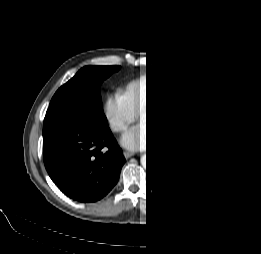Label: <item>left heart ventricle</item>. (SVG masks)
<instances>
[{"label":"left heart ventricle","instance_id":"b2bd125f","mask_svg":"<svg viewBox=\"0 0 261 254\" xmlns=\"http://www.w3.org/2000/svg\"><path fill=\"white\" fill-rule=\"evenodd\" d=\"M145 121L148 123V125L150 127H155L156 123H155V119H154V115L152 112H148L146 115H145ZM159 127H160V122H159Z\"/></svg>","mask_w":261,"mask_h":254}]
</instances>
